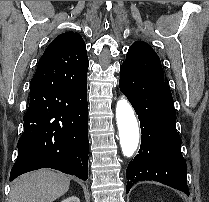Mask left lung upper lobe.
Instances as JSON below:
<instances>
[{
	"mask_svg": "<svg viewBox=\"0 0 209 202\" xmlns=\"http://www.w3.org/2000/svg\"><path fill=\"white\" fill-rule=\"evenodd\" d=\"M122 65L131 67L149 77L164 81L160 58L146 42H134L130 46L126 61Z\"/></svg>",
	"mask_w": 209,
	"mask_h": 202,
	"instance_id": "left-lung-upper-lobe-1",
	"label": "left lung upper lobe"
}]
</instances>
